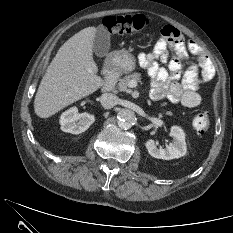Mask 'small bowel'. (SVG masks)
Here are the masks:
<instances>
[{"label": "small bowel", "mask_w": 233, "mask_h": 233, "mask_svg": "<svg viewBox=\"0 0 233 233\" xmlns=\"http://www.w3.org/2000/svg\"><path fill=\"white\" fill-rule=\"evenodd\" d=\"M190 54L195 56L194 62L188 61ZM138 60L151 78L154 100L167 99L190 108L200 105L199 86L215 74L205 51L196 42L186 41L173 26H165L152 51L140 53ZM158 61L167 67L160 66Z\"/></svg>", "instance_id": "c3829d8e"}]
</instances>
